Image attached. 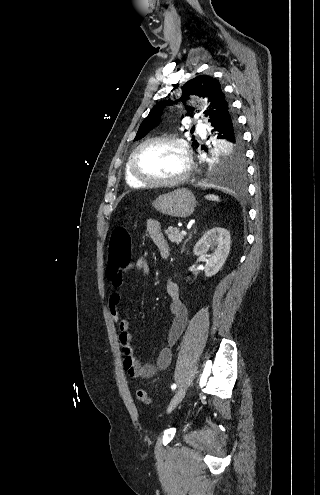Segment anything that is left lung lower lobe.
Instances as JSON below:
<instances>
[{
	"label": "left lung lower lobe",
	"instance_id": "obj_1",
	"mask_svg": "<svg viewBox=\"0 0 320 495\" xmlns=\"http://www.w3.org/2000/svg\"><path fill=\"white\" fill-rule=\"evenodd\" d=\"M211 126L213 128L212 132H214L218 141L230 139L234 135L237 120L231 109H228L223 112Z\"/></svg>",
	"mask_w": 320,
	"mask_h": 495
}]
</instances>
